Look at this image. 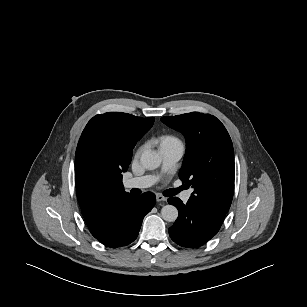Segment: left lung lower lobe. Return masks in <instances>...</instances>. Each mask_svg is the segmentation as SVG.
I'll return each instance as SVG.
<instances>
[{
	"mask_svg": "<svg viewBox=\"0 0 307 307\" xmlns=\"http://www.w3.org/2000/svg\"><path fill=\"white\" fill-rule=\"evenodd\" d=\"M168 202L179 210L177 220L168 231L171 239L180 246L199 247L209 241L222 225L198 212L188 202L183 204L177 197L169 198Z\"/></svg>",
	"mask_w": 307,
	"mask_h": 307,
	"instance_id": "0a47b994",
	"label": "left lung lower lobe"
}]
</instances>
